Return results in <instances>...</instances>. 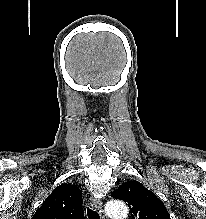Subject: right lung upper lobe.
I'll return each mask as SVG.
<instances>
[{"label": "right lung upper lobe", "mask_w": 206, "mask_h": 219, "mask_svg": "<svg viewBox=\"0 0 206 219\" xmlns=\"http://www.w3.org/2000/svg\"><path fill=\"white\" fill-rule=\"evenodd\" d=\"M82 204L79 188L61 184L45 199L32 219H84Z\"/></svg>", "instance_id": "right-lung-upper-lobe-1"}]
</instances>
